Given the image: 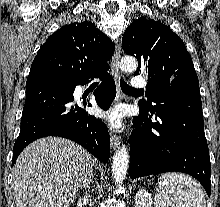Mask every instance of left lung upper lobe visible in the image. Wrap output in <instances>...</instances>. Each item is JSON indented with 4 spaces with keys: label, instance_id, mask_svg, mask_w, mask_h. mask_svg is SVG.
Segmentation results:
<instances>
[{
    "label": "left lung upper lobe",
    "instance_id": "left-lung-upper-lobe-1",
    "mask_svg": "<svg viewBox=\"0 0 220 207\" xmlns=\"http://www.w3.org/2000/svg\"><path fill=\"white\" fill-rule=\"evenodd\" d=\"M122 48L136 56L138 71L148 77L146 108L160 92L172 88H197L199 81L190 54L183 41L163 23L141 17L126 29Z\"/></svg>",
    "mask_w": 220,
    "mask_h": 207
}]
</instances>
